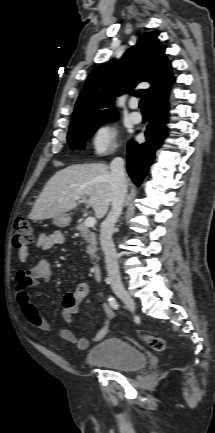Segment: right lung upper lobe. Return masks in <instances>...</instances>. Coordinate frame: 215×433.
Wrapping results in <instances>:
<instances>
[{
  "label": "right lung upper lobe",
  "mask_w": 215,
  "mask_h": 433,
  "mask_svg": "<svg viewBox=\"0 0 215 433\" xmlns=\"http://www.w3.org/2000/svg\"><path fill=\"white\" fill-rule=\"evenodd\" d=\"M157 36L155 32L144 33L120 61L111 60L91 72L76 102L71 124L116 117L115 96L130 92L140 82L151 84L149 89L139 90L146 93L149 103L169 90L174 80L172 67Z\"/></svg>",
  "instance_id": "obj_1"
}]
</instances>
